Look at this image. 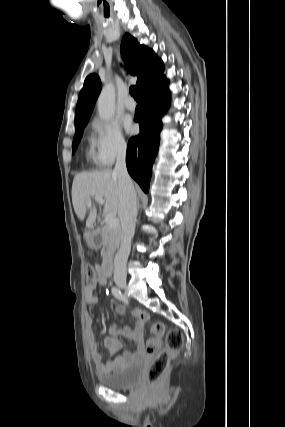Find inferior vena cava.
<instances>
[{"label": "inferior vena cava", "mask_w": 285, "mask_h": 427, "mask_svg": "<svg viewBox=\"0 0 285 427\" xmlns=\"http://www.w3.org/2000/svg\"><path fill=\"white\" fill-rule=\"evenodd\" d=\"M114 173L118 176L120 191L118 215L122 227L121 245L114 259V274L125 276L137 218L136 193L126 168V146H121L118 150Z\"/></svg>", "instance_id": "obj_1"}]
</instances>
